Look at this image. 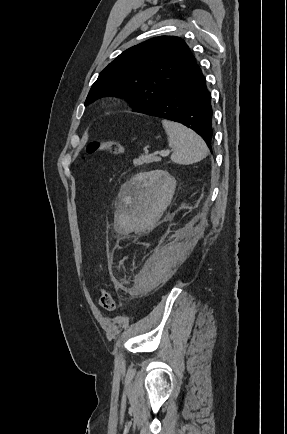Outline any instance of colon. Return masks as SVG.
I'll return each instance as SVG.
<instances>
[{
	"mask_svg": "<svg viewBox=\"0 0 287 434\" xmlns=\"http://www.w3.org/2000/svg\"><path fill=\"white\" fill-rule=\"evenodd\" d=\"M88 154H95L100 152L109 153L112 155H120L124 152V146L117 140L97 141L92 142L86 149ZM100 307L106 312L115 310L116 302L114 294L109 289H104L99 298Z\"/></svg>",
	"mask_w": 287,
	"mask_h": 434,
	"instance_id": "colon-1",
	"label": "colon"
}]
</instances>
